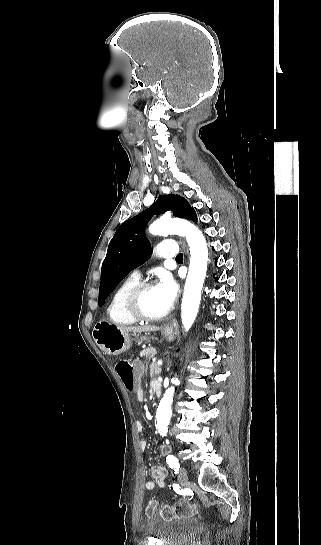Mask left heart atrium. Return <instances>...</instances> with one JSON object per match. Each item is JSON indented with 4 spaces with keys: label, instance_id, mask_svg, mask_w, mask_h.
<instances>
[{
    "label": "left heart atrium",
    "instance_id": "1",
    "mask_svg": "<svg viewBox=\"0 0 321 545\" xmlns=\"http://www.w3.org/2000/svg\"><path fill=\"white\" fill-rule=\"evenodd\" d=\"M157 293L163 298L167 307L170 309L179 294V285L173 276L166 271L158 275V281L155 286Z\"/></svg>",
    "mask_w": 321,
    "mask_h": 545
}]
</instances>
